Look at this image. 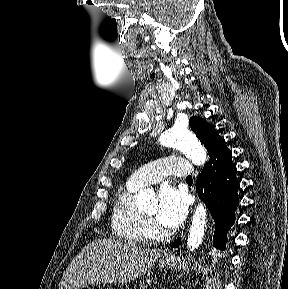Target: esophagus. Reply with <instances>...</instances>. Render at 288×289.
Returning <instances> with one entry per match:
<instances>
[{"instance_id": "obj_1", "label": "esophagus", "mask_w": 288, "mask_h": 289, "mask_svg": "<svg viewBox=\"0 0 288 289\" xmlns=\"http://www.w3.org/2000/svg\"><path fill=\"white\" fill-rule=\"evenodd\" d=\"M165 258H166V259H171V258H172V254H171V253L166 254V255H165Z\"/></svg>"}]
</instances>
